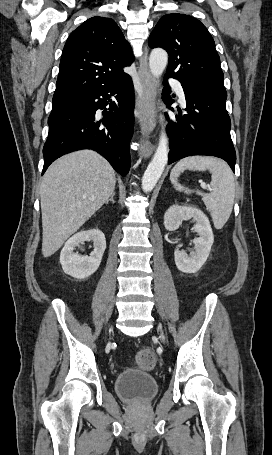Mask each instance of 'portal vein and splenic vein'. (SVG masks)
I'll return each instance as SVG.
<instances>
[{"instance_id":"18ae733b","label":"portal vein and splenic vein","mask_w":272,"mask_h":455,"mask_svg":"<svg viewBox=\"0 0 272 455\" xmlns=\"http://www.w3.org/2000/svg\"><path fill=\"white\" fill-rule=\"evenodd\" d=\"M200 185H201V187H202L203 189H207V188H208V186H207L204 182H201Z\"/></svg>"}]
</instances>
